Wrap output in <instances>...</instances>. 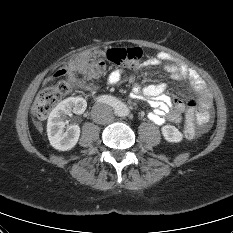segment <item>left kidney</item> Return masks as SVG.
<instances>
[{
	"label": "left kidney",
	"mask_w": 233,
	"mask_h": 233,
	"mask_svg": "<svg viewBox=\"0 0 233 233\" xmlns=\"http://www.w3.org/2000/svg\"><path fill=\"white\" fill-rule=\"evenodd\" d=\"M161 131L168 142L177 143L183 139L182 133L175 126L165 125Z\"/></svg>",
	"instance_id": "obj_1"
}]
</instances>
